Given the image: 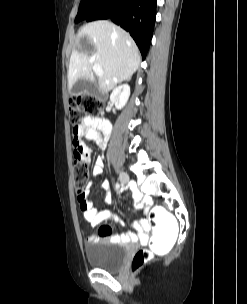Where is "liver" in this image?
Here are the masks:
<instances>
[{"label": "liver", "instance_id": "liver-1", "mask_svg": "<svg viewBox=\"0 0 247 304\" xmlns=\"http://www.w3.org/2000/svg\"><path fill=\"white\" fill-rule=\"evenodd\" d=\"M140 61L139 49L125 30L105 20L88 23L78 32L70 57L68 88L80 78L94 82L92 67L97 64L103 70L99 89L109 92L117 83L130 80Z\"/></svg>", "mask_w": 247, "mask_h": 304}]
</instances>
